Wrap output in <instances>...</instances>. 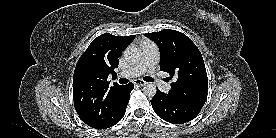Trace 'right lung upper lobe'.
Returning a JSON list of instances; mask_svg holds the SVG:
<instances>
[{
  "label": "right lung upper lobe",
  "mask_w": 276,
  "mask_h": 138,
  "mask_svg": "<svg viewBox=\"0 0 276 138\" xmlns=\"http://www.w3.org/2000/svg\"><path fill=\"white\" fill-rule=\"evenodd\" d=\"M135 35L102 34L95 38L77 62L73 76V100L79 117L90 127L103 129L117 114L124 85L109 86V74L114 69L124 48Z\"/></svg>",
  "instance_id": "obj_1"
}]
</instances>
